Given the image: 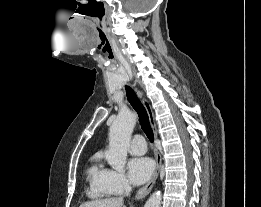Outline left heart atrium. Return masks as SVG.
I'll return each instance as SVG.
<instances>
[{
    "mask_svg": "<svg viewBox=\"0 0 261 207\" xmlns=\"http://www.w3.org/2000/svg\"><path fill=\"white\" fill-rule=\"evenodd\" d=\"M129 180L135 185L145 183L153 174L154 162L148 157H134L127 164Z\"/></svg>",
    "mask_w": 261,
    "mask_h": 207,
    "instance_id": "left-heart-atrium-1",
    "label": "left heart atrium"
}]
</instances>
